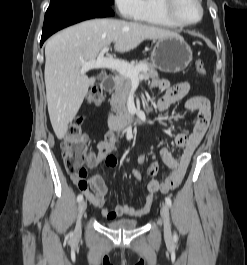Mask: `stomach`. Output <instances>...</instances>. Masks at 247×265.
I'll return each instance as SVG.
<instances>
[{
    "label": "stomach",
    "instance_id": "stomach-1",
    "mask_svg": "<svg viewBox=\"0 0 247 265\" xmlns=\"http://www.w3.org/2000/svg\"><path fill=\"white\" fill-rule=\"evenodd\" d=\"M192 60V50L180 35L157 39L151 53L154 68L166 73L183 71Z\"/></svg>",
    "mask_w": 247,
    "mask_h": 265
}]
</instances>
